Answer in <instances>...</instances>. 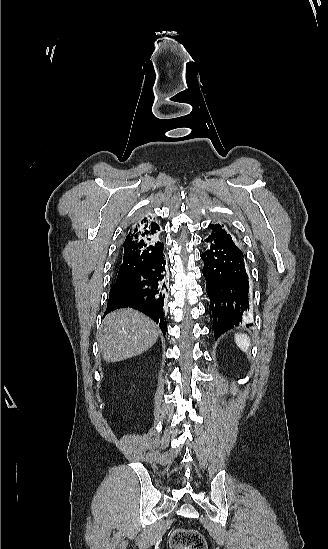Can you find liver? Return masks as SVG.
<instances>
[{
	"mask_svg": "<svg viewBox=\"0 0 328 549\" xmlns=\"http://www.w3.org/2000/svg\"><path fill=\"white\" fill-rule=\"evenodd\" d=\"M158 335L156 323L143 313L134 309H118L105 317L99 347L106 363H117L148 351L156 343Z\"/></svg>",
	"mask_w": 328,
	"mask_h": 549,
	"instance_id": "liver-1",
	"label": "liver"
}]
</instances>
